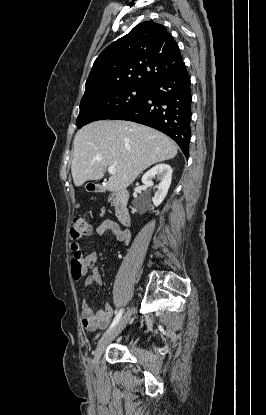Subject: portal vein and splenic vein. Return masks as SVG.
<instances>
[{
    "mask_svg": "<svg viewBox=\"0 0 266 415\" xmlns=\"http://www.w3.org/2000/svg\"><path fill=\"white\" fill-rule=\"evenodd\" d=\"M108 172L111 175H116V168L114 166H109L108 167Z\"/></svg>",
    "mask_w": 266,
    "mask_h": 415,
    "instance_id": "obj_1",
    "label": "portal vein and splenic vein"
}]
</instances>
